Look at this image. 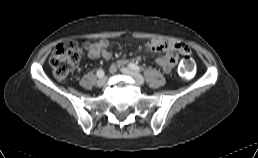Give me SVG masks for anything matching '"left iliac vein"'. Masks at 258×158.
Returning a JSON list of instances; mask_svg holds the SVG:
<instances>
[{
	"instance_id": "4c4485c4",
	"label": "left iliac vein",
	"mask_w": 258,
	"mask_h": 158,
	"mask_svg": "<svg viewBox=\"0 0 258 158\" xmlns=\"http://www.w3.org/2000/svg\"><path fill=\"white\" fill-rule=\"evenodd\" d=\"M121 71L123 74L128 75V76L132 77L133 79H135L139 85L144 84V78L139 73L134 72L131 69L126 68V67L121 68Z\"/></svg>"
}]
</instances>
